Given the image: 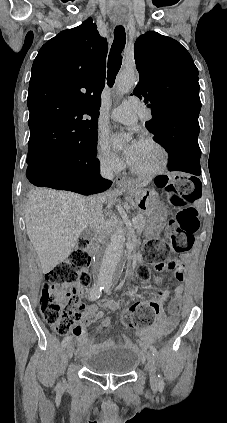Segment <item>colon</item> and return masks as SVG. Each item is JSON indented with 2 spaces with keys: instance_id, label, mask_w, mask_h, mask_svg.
<instances>
[{
  "instance_id": "obj_1",
  "label": "colon",
  "mask_w": 227,
  "mask_h": 423,
  "mask_svg": "<svg viewBox=\"0 0 227 423\" xmlns=\"http://www.w3.org/2000/svg\"><path fill=\"white\" fill-rule=\"evenodd\" d=\"M156 185L167 195L170 204L178 208V213L169 224V235L175 253L191 249L194 235L199 229L198 210L195 201L200 195L199 183L189 177L179 179L159 178ZM88 242L80 241L79 248L69 258L55 266L46 275L42 286L39 306L45 321L57 332L64 334L82 322L85 306L81 302L79 289L89 281L90 258L86 252ZM144 260L152 264L157 272H170L175 281L183 279V263L179 258L170 257L163 241L151 240L145 244ZM140 279L148 284L151 281L150 269H139ZM164 294L158 290L153 298L133 304L123 314V322L131 328H145L152 324L161 312Z\"/></svg>"
}]
</instances>
